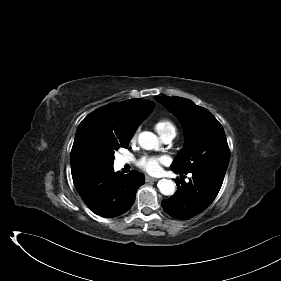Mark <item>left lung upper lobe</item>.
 <instances>
[{
    "mask_svg": "<svg viewBox=\"0 0 281 281\" xmlns=\"http://www.w3.org/2000/svg\"><path fill=\"white\" fill-rule=\"evenodd\" d=\"M181 121L186 143L171 165L185 173L205 169L227 170L230 151L222 125L205 108L181 97H155Z\"/></svg>",
    "mask_w": 281,
    "mask_h": 281,
    "instance_id": "1",
    "label": "left lung upper lobe"
}]
</instances>
